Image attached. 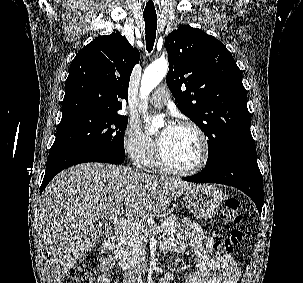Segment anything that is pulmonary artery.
<instances>
[{"label": "pulmonary artery", "mask_w": 303, "mask_h": 283, "mask_svg": "<svg viewBox=\"0 0 303 283\" xmlns=\"http://www.w3.org/2000/svg\"><path fill=\"white\" fill-rule=\"evenodd\" d=\"M170 99V91L167 87H159L150 98V103L155 107H163Z\"/></svg>", "instance_id": "obj_1"}]
</instances>
